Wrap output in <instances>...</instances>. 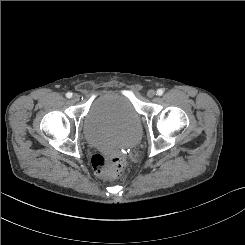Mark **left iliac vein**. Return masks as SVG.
Listing matches in <instances>:
<instances>
[{
  "label": "left iliac vein",
  "mask_w": 245,
  "mask_h": 245,
  "mask_svg": "<svg viewBox=\"0 0 245 245\" xmlns=\"http://www.w3.org/2000/svg\"><path fill=\"white\" fill-rule=\"evenodd\" d=\"M155 95H156V92H155L154 90H149V91L147 92V96H148L149 98H153Z\"/></svg>",
  "instance_id": "4c4485c4"
}]
</instances>
